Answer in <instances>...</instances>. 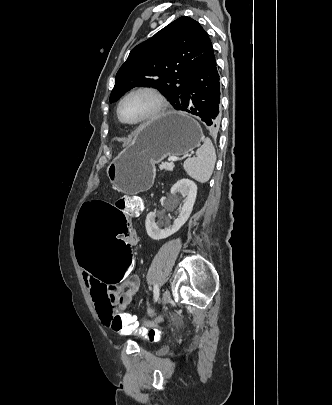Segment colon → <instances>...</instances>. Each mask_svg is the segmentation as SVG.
Listing matches in <instances>:
<instances>
[{
  "label": "colon",
  "mask_w": 332,
  "mask_h": 405,
  "mask_svg": "<svg viewBox=\"0 0 332 405\" xmlns=\"http://www.w3.org/2000/svg\"><path fill=\"white\" fill-rule=\"evenodd\" d=\"M78 220H73L75 257L84 275H96V281H105V287H122V281H133L135 266L133 249L136 248L134 227L127 220L129 211L140 214L142 200L125 195L116 202H105L104 197H91L81 203ZM126 210V211H121ZM111 327L123 331V336H138V344L149 338L156 341L163 332L161 325L139 322L133 311L125 308L113 311ZM131 331V333H130Z\"/></svg>",
  "instance_id": "obj_1"
}]
</instances>
